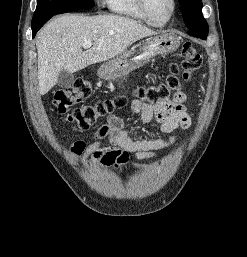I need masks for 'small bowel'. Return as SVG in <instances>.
<instances>
[{
	"label": "small bowel",
	"instance_id": "small-bowel-1",
	"mask_svg": "<svg viewBox=\"0 0 247 257\" xmlns=\"http://www.w3.org/2000/svg\"><path fill=\"white\" fill-rule=\"evenodd\" d=\"M186 95L177 92L172 99L156 105H149L140 100L132 102V110L139 114L140 121L146 125L155 121L159 129L169 134L167 139L133 140L130 130L124 127L122 118L111 114L107 122L96 130L94 141L86 144L83 140L76 141L71 147V153L82 160L90 158L92 165L119 170L126 165L135 168L143 167L140 163L130 161L133 154L137 160L153 158L158 151L171 146L177 138L175 131L188 128L191 120L184 102ZM108 139L110 146L104 147L102 142Z\"/></svg>",
	"mask_w": 247,
	"mask_h": 257
}]
</instances>
